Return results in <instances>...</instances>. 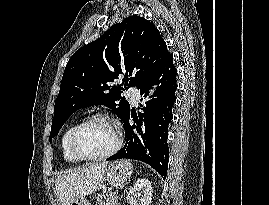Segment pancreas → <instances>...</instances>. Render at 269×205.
<instances>
[{"label":"pancreas","instance_id":"1","mask_svg":"<svg viewBox=\"0 0 269 205\" xmlns=\"http://www.w3.org/2000/svg\"><path fill=\"white\" fill-rule=\"evenodd\" d=\"M99 205H118L117 198L115 196H111L110 198L106 199L105 201H100Z\"/></svg>","mask_w":269,"mask_h":205}]
</instances>
